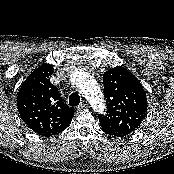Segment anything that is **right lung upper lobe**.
Instances as JSON below:
<instances>
[{
    "label": "right lung upper lobe",
    "instance_id": "right-lung-upper-lobe-1",
    "mask_svg": "<svg viewBox=\"0 0 174 174\" xmlns=\"http://www.w3.org/2000/svg\"><path fill=\"white\" fill-rule=\"evenodd\" d=\"M54 68L42 64L23 82L17 106L21 119L35 133L49 137L66 129L73 118L74 109L66 105L50 76Z\"/></svg>",
    "mask_w": 174,
    "mask_h": 174
}]
</instances>
